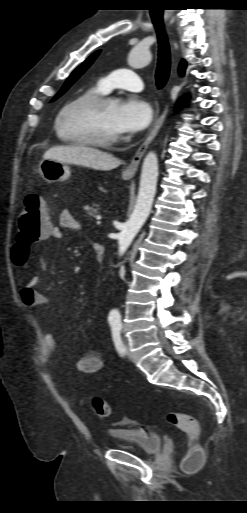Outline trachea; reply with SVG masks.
I'll return each mask as SVG.
<instances>
[{
	"label": "trachea",
	"mask_w": 247,
	"mask_h": 513,
	"mask_svg": "<svg viewBox=\"0 0 247 513\" xmlns=\"http://www.w3.org/2000/svg\"><path fill=\"white\" fill-rule=\"evenodd\" d=\"M153 25L158 35L159 51L156 70V85L159 89L163 88L169 78L170 73V47L167 35L163 28V21L152 17Z\"/></svg>",
	"instance_id": "1"
}]
</instances>
